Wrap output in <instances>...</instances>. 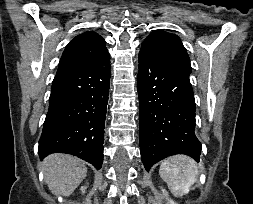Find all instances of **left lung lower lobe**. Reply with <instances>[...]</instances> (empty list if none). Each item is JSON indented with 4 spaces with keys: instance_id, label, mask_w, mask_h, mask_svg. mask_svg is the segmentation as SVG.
I'll return each mask as SVG.
<instances>
[{
    "instance_id": "left-lung-lower-lobe-1",
    "label": "left lung lower lobe",
    "mask_w": 253,
    "mask_h": 204,
    "mask_svg": "<svg viewBox=\"0 0 253 204\" xmlns=\"http://www.w3.org/2000/svg\"><path fill=\"white\" fill-rule=\"evenodd\" d=\"M137 87L139 141L146 170L174 154H186L199 162L201 144L194 132L196 109L189 74L140 50Z\"/></svg>"
}]
</instances>
